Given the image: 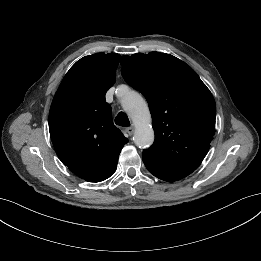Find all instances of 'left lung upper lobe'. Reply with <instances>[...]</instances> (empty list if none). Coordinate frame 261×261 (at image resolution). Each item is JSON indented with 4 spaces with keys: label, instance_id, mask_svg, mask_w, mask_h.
Returning a JSON list of instances; mask_svg holds the SVG:
<instances>
[{
    "label": "left lung upper lobe",
    "instance_id": "1",
    "mask_svg": "<svg viewBox=\"0 0 261 261\" xmlns=\"http://www.w3.org/2000/svg\"><path fill=\"white\" fill-rule=\"evenodd\" d=\"M122 76L148 101L155 132L143 151L166 166L195 170L215 134V100L195 71L164 53L121 58Z\"/></svg>",
    "mask_w": 261,
    "mask_h": 261
}]
</instances>
